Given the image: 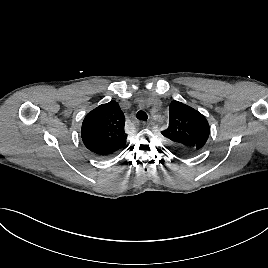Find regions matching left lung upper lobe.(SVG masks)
<instances>
[{
	"label": "left lung upper lobe",
	"instance_id": "obj_1",
	"mask_svg": "<svg viewBox=\"0 0 268 268\" xmlns=\"http://www.w3.org/2000/svg\"><path fill=\"white\" fill-rule=\"evenodd\" d=\"M161 133L173 142L175 148L200 152L206 145L210 127L200 112L174 100L169 106V126Z\"/></svg>",
	"mask_w": 268,
	"mask_h": 268
}]
</instances>
